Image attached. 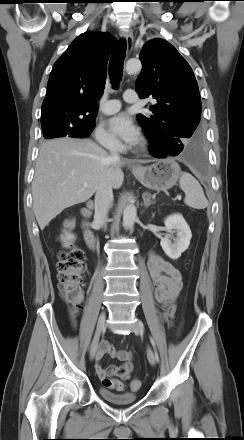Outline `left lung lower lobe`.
Here are the masks:
<instances>
[{
  "label": "left lung lower lobe",
  "mask_w": 244,
  "mask_h": 440,
  "mask_svg": "<svg viewBox=\"0 0 244 440\" xmlns=\"http://www.w3.org/2000/svg\"><path fill=\"white\" fill-rule=\"evenodd\" d=\"M149 140V149L151 154L157 158H165L168 156H177L182 152L184 159L200 172L205 171V159L201 150L199 140L189 145L181 147H165L160 144L154 137L146 135Z\"/></svg>",
  "instance_id": "0a47b994"
}]
</instances>
